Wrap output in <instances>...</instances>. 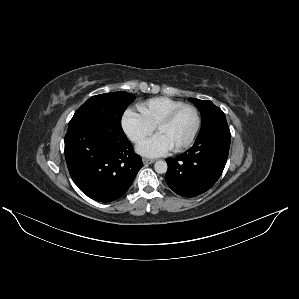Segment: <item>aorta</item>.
I'll use <instances>...</instances> for the list:
<instances>
[{"mask_svg":"<svg viewBox=\"0 0 299 299\" xmlns=\"http://www.w3.org/2000/svg\"><path fill=\"white\" fill-rule=\"evenodd\" d=\"M167 168H168L167 163L163 160H159L154 164V169L159 174L166 173Z\"/></svg>","mask_w":299,"mask_h":299,"instance_id":"obj_1","label":"aorta"}]
</instances>
